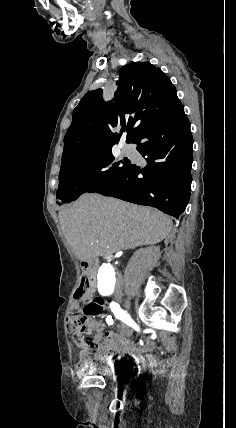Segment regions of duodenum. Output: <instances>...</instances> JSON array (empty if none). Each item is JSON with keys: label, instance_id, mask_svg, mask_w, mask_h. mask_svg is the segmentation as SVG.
Segmentation results:
<instances>
[{"label": "duodenum", "instance_id": "1", "mask_svg": "<svg viewBox=\"0 0 236 428\" xmlns=\"http://www.w3.org/2000/svg\"><path fill=\"white\" fill-rule=\"evenodd\" d=\"M83 272L89 280L92 291L96 289V264L91 260H85L81 263Z\"/></svg>", "mask_w": 236, "mask_h": 428}]
</instances>
